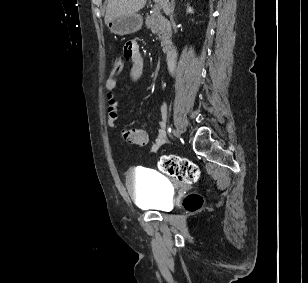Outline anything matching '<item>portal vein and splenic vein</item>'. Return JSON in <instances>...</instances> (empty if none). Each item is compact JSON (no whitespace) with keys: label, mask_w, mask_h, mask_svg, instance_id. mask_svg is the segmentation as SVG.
I'll list each match as a JSON object with an SVG mask.
<instances>
[{"label":"portal vein and splenic vein","mask_w":308,"mask_h":283,"mask_svg":"<svg viewBox=\"0 0 308 283\" xmlns=\"http://www.w3.org/2000/svg\"><path fill=\"white\" fill-rule=\"evenodd\" d=\"M155 2H156L157 4L155 5L154 9H155V10H159V9H160L161 4H160V3H158V0H156Z\"/></svg>","instance_id":"18ae733b"}]
</instances>
